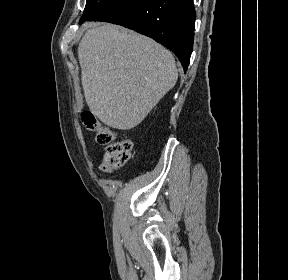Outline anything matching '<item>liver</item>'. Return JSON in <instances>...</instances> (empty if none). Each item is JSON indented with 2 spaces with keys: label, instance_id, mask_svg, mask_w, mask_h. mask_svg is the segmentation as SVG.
Returning <instances> with one entry per match:
<instances>
[{
  "label": "liver",
  "instance_id": "obj_1",
  "mask_svg": "<svg viewBox=\"0 0 288 280\" xmlns=\"http://www.w3.org/2000/svg\"><path fill=\"white\" fill-rule=\"evenodd\" d=\"M86 103L104 124L137 126L178 79L170 51L112 24L94 25L78 46Z\"/></svg>",
  "mask_w": 288,
  "mask_h": 280
}]
</instances>
